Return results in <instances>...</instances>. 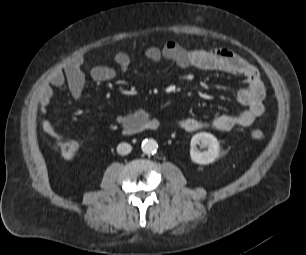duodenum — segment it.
<instances>
[{"label":"duodenum","instance_id":"410a0bca","mask_svg":"<svg viewBox=\"0 0 306 255\" xmlns=\"http://www.w3.org/2000/svg\"><path fill=\"white\" fill-rule=\"evenodd\" d=\"M159 127L158 122L155 120L138 121L129 124L124 132L128 135L136 134L143 130L155 131Z\"/></svg>","mask_w":306,"mask_h":255}]
</instances>
